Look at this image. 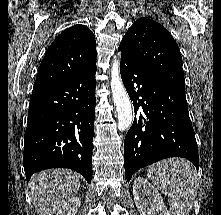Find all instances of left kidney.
Instances as JSON below:
<instances>
[{
    "label": "left kidney",
    "mask_w": 221,
    "mask_h": 215,
    "mask_svg": "<svg viewBox=\"0 0 221 215\" xmlns=\"http://www.w3.org/2000/svg\"><path fill=\"white\" fill-rule=\"evenodd\" d=\"M133 196L140 215H170L161 194L144 178H135Z\"/></svg>",
    "instance_id": "5707ae66"
}]
</instances>
